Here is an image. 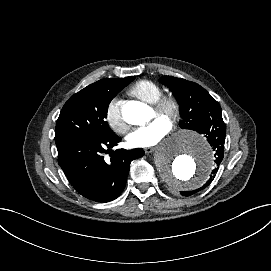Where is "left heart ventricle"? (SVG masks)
<instances>
[{
  "mask_svg": "<svg viewBox=\"0 0 271 271\" xmlns=\"http://www.w3.org/2000/svg\"><path fill=\"white\" fill-rule=\"evenodd\" d=\"M156 118H162V117L158 116V115L153 111V115H152L151 120L156 119Z\"/></svg>",
  "mask_w": 271,
  "mask_h": 271,
  "instance_id": "b2bd125f",
  "label": "left heart ventricle"
}]
</instances>
